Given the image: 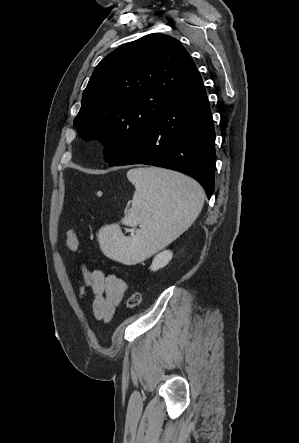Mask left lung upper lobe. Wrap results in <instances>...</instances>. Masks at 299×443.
<instances>
[{
  "instance_id": "1",
  "label": "left lung upper lobe",
  "mask_w": 299,
  "mask_h": 443,
  "mask_svg": "<svg viewBox=\"0 0 299 443\" xmlns=\"http://www.w3.org/2000/svg\"><path fill=\"white\" fill-rule=\"evenodd\" d=\"M196 72L171 36L154 33L121 46L96 66L74 127L83 140L102 141L104 160L114 166Z\"/></svg>"
}]
</instances>
